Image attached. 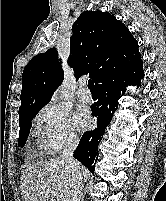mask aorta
Here are the masks:
<instances>
[{"label": "aorta", "instance_id": "obj_1", "mask_svg": "<svg viewBox=\"0 0 166 201\" xmlns=\"http://www.w3.org/2000/svg\"><path fill=\"white\" fill-rule=\"evenodd\" d=\"M58 99V97H57V94H55L54 96H53V98H52V100H57Z\"/></svg>", "mask_w": 166, "mask_h": 201}]
</instances>
